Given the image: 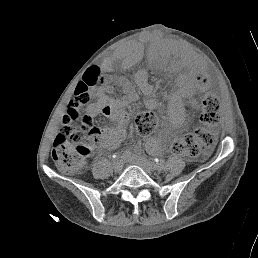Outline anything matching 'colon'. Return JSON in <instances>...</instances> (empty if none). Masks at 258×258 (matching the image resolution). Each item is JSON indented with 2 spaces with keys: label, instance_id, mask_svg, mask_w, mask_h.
<instances>
[{
  "label": "colon",
  "instance_id": "1",
  "mask_svg": "<svg viewBox=\"0 0 258 258\" xmlns=\"http://www.w3.org/2000/svg\"><path fill=\"white\" fill-rule=\"evenodd\" d=\"M101 78L98 67H90L83 82L76 87L75 97L69 104L63 118L62 127L56 136L52 149V158L58 169L67 174L80 171L85 160L93 149L100 145L102 130L92 126L90 119L82 118L80 108L89 101V89ZM219 100L207 95L202 104V121L204 127L192 134L176 138L171 149L175 154L192 158L199 157L203 148L215 143V128L219 122ZM157 124V116L153 112L140 113L136 118V129L141 135L150 134Z\"/></svg>",
  "mask_w": 258,
  "mask_h": 258
}]
</instances>
